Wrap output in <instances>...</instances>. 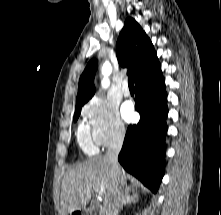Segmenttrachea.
Masks as SVG:
<instances>
[{"mask_svg":"<svg viewBox=\"0 0 221 215\" xmlns=\"http://www.w3.org/2000/svg\"><path fill=\"white\" fill-rule=\"evenodd\" d=\"M128 85H129V88H134V80H133V77H129V78H128Z\"/></svg>","mask_w":221,"mask_h":215,"instance_id":"obj_1","label":"trachea"}]
</instances>
